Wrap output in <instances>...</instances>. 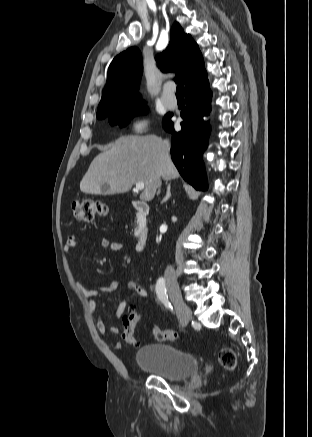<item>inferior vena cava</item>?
<instances>
[{
	"mask_svg": "<svg viewBox=\"0 0 312 437\" xmlns=\"http://www.w3.org/2000/svg\"><path fill=\"white\" fill-rule=\"evenodd\" d=\"M164 147H165V150L167 151V153H169L170 143L167 139L164 140ZM160 187H161V180L159 179L157 182L158 193L160 192ZM166 271H167V273L174 274V268L172 266H168Z\"/></svg>",
	"mask_w": 312,
	"mask_h": 437,
	"instance_id": "obj_1",
	"label": "inferior vena cava"
}]
</instances>
